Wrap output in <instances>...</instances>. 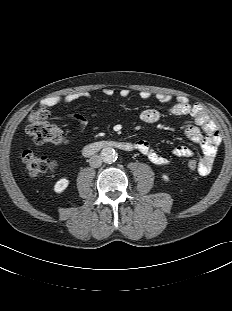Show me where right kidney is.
<instances>
[{"mask_svg": "<svg viewBox=\"0 0 232 311\" xmlns=\"http://www.w3.org/2000/svg\"><path fill=\"white\" fill-rule=\"evenodd\" d=\"M69 184V180L66 178H61L60 180H58L54 186V191L56 193H61L63 192L67 186Z\"/></svg>", "mask_w": 232, "mask_h": 311, "instance_id": "1", "label": "right kidney"}]
</instances>
